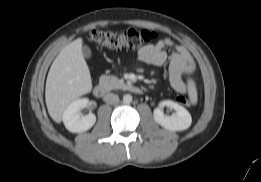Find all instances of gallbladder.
<instances>
[{"mask_svg":"<svg viewBox=\"0 0 261 182\" xmlns=\"http://www.w3.org/2000/svg\"><path fill=\"white\" fill-rule=\"evenodd\" d=\"M82 54L86 59H90L92 56L91 49L88 46H83L82 48Z\"/></svg>","mask_w":261,"mask_h":182,"instance_id":"obj_1","label":"gallbladder"}]
</instances>
